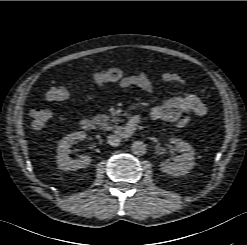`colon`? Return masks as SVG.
Here are the masks:
<instances>
[{
    "mask_svg": "<svg viewBox=\"0 0 247 245\" xmlns=\"http://www.w3.org/2000/svg\"><path fill=\"white\" fill-rule=\"evenodd\" d=\"M125 77V72L121 68L112 67L106 70H102L94 73L90 80L89 84L92 85H104L107 83H114L120 81ZM78 88L72 86H52L46 93V97L50 101H63L72 96ZM32 119V124L35 128H42L51 119V112L47 109H33L30 112ZM191 119L188 117L180 118L176 125L180 128L186 127L191 124Z\"/></svg>",
    "mask_w": 247,
    "mask_h": 245,
    "instance_id": "obj_1",
    "label": "colon"
}]
</instances>
